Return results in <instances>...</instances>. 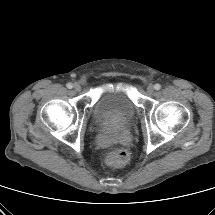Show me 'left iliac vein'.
<instances>
[{"label":"left iliac vein","mask_w":215,"mask_h":215,"mask_svg":"<svg viewBox=\"0 0 215 215\" xmlns=\"http://www.w3.org/2000/svg\"><path fill=\"white\" fill-rule=\"evenodd\" d=\"M153 91H154V86H153V85H149V86L147 87V92H148L149 94H151V93H153Z\"/></svg>","instance_id":"obj_1"}]
</instances>
